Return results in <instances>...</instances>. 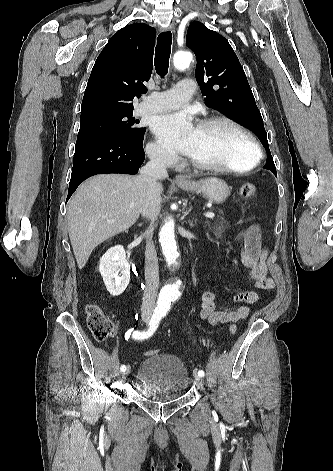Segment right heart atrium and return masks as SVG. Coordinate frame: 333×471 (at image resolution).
<instances>
[{"instance_id": "1", "label": "right heart atrium", "mask_w": 333, "mask_h": 471, "mask_svg": "<svg viewBox=\"0 0 333 471\" xmlns=\"http://www.w3.org/2000/svg\"><path fill=\"white\" fill-rule=\"evenodd\" d=\"M147 153L154 163L162 167H174L179 161L178 156L173 151L157 141L148 144Z\"/></svg>"}]
</instances>
